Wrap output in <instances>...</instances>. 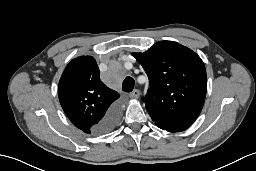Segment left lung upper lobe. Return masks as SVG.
Returning <instances> with one entry per match:
<instances>
[{
  "instance_id": "obj_1",
  "label": "left lung upper lobe",
  "mask_w": 256,
  "mask_h": 171,
  "mask_svg": "<svg viewBox=\"0 0 256 171\" xmlns=\"http://www.w3.org/2000/svg\"><path fill=\"white\" fill-rule=\"evenodd\" d=\"M133 56L149 78L150 89L143 101L155 124L168 132L190 127L203 108L207 91L201 58L173 41H160Z\"/></svg>"
}]
</instances>
